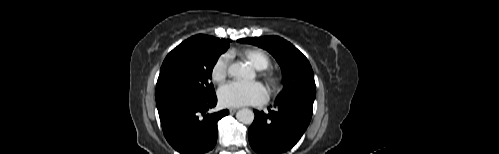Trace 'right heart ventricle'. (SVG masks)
<instances>
[{"instance_id":"e07e8e85","label":"right heart ventricle","mask_w":499,"mask_h":154,"mask_svg":"<svg viewBox=\"0 0 499 154\" xmlns=\"http://www.w3.org/2000/svg\"><path fill=\"white\" fill-rule=\"evenodd\" d=\"M239 57L251 63L258 70H264L271 64L269 55L257 48L245 49L239 53Z\"/></svg>"}]
</instances>
